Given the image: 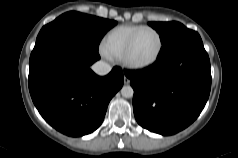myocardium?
<instances>
[{"mask_svg":"<svg viewBox=\"0 0 238 158\" xmlns=\"http://www.w3.org/2000/svg\"><path fill=\"white\" fill-rule=\"evenodd\" d=\"M147 30L153 31L158 36V40H159L158 51H157L156 55L154 56V58L151 59L150 61L145 62V63H134L130 60L131 52L133 50V47L135 45V42H136L138 36L142 32L147 31ZM163 48H164V41H163V37H162V34L160 33V31L157 30L154 27H151V26H144V27L140 28L139 30H137L131 36L130 40L128 41V43L125 47V50H124L123 55L121 57V60H122L123 64L129 69H133V70L146 69V68H149V67L153 66L159 60V58L162 54Z\"/></svg>","mask_w":238,"mask_h":158,"instance_id":"f54148a6","label":"myocardium"}]
</instances>
